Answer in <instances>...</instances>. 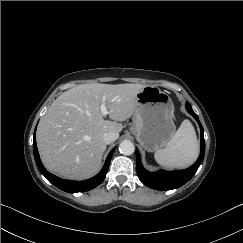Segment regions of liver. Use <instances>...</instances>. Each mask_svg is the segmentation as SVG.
<instances>
[{
    "label": "liver",
    "mask_w": 243,
    "mask_h": 243,
    "mask_svg": "<svg viewBox=\"0 0 243 243\" xmlns=\"http://www.w3.org/2000/svg\"><path fill=\"white\" fill-rule=\"evenodd\" d=\"M141 84H82L58 96L38 125L37 146L44 166L63 178L83 180L101 167L103 134L119 137L137 104ZM105 103L109 118L100 106Z\"/></svg>",
    "instance_id": "obj_1"
}]
</instances>
